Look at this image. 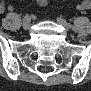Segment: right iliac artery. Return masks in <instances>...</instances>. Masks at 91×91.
I'll return each mask as SVG.
<instances>
[{
    "label": "right iliac artery",
    "mask_w": 91,
    "mask_h": 91,
    "mask_svg": "<svg viewBox=\"0 0 91 91\" xmlns=\"http://www.w3.org/2000/svg\"><path fill=\"white\" fill-rule=\"evenodd\" d=\"M28 18L30 19V17H29L28 15L24 17V19H28ZM24 19H23V20H24Z\"/></svg>",
    "instance_id": "right-iliac-artery-1"
}]
</instances>
